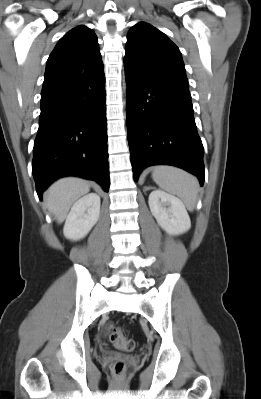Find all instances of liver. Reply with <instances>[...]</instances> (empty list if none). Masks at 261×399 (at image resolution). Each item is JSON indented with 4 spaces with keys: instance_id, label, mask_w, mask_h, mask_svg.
Returning a JSON list of instances; mask_svg holds the SVG:
<instances>
[{
    "instance_id": "1",
    "label": "liver",
    "mask_w": 261,
    "mask_h": 399,
    "mask_svg": "<svg viewBox=\"0 0 261 399\" xmlns=\"http://www.w3.org/2000/svg\"><path fill=\"white\" fill-rule=\"evenodd\" d=\"M90 190L88 181L67 177L56 181L45 193L44 200L48 210L58 223L64 221L70 207Z\"/></svg>"
}]
</instances>
